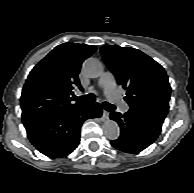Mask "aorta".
Instances as JSON below:
<instances>
[{
    "label": "aorta",
    "instance_id": "obj_1",
    "mask_svg": "<svg viewBox=\"0 0 194 193\" xmlns=\"http://www.w3.org/2000/svg\"><path fill=\"white\" fill-rule=\"evenodd\" d=\"M83 72L89 78H98L103 73V66L102 64L95 58H88L83 63ZM103 132L104 135L110 139L115 140L120 135V128L119 125L110 119H107L103 123Z\"/></svg>",
    "mask_w": 194,
    "mask_h": 193
}]
</instances>
